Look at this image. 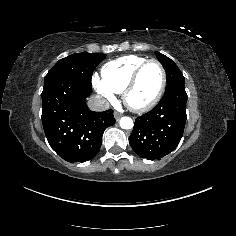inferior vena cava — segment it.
<instances>
[{
  "instance_id": "602c4592",
  "label": "inferior vena cava",
  "mask_w": 236,
  "mask_h": 236,
  "mask_svg": "<svg viewBox=\"0 0 236 236\" xmlns=\"http://www.w3.org/2000/svg\"><path fill=\"white\" fill-rule=\"evenodd\" d=\"M87 106L91 111H105L109 108V102L99 94H93L87 101Z\"/></svg>"
}]
</instances>
